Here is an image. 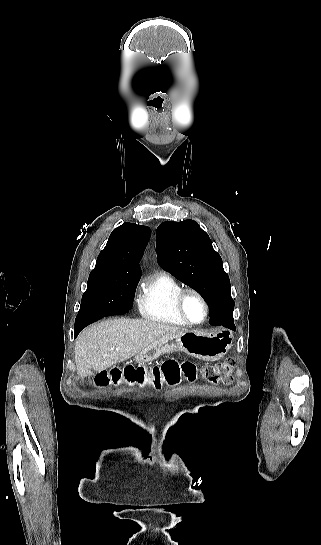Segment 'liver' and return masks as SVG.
Instances as JSON below:
<instances>
[{
  "mask_svg": "<svg viewBox=\"0 0 321 545\" xmlns=\"http://www.w3.org/2000/svg\"><path fill=\"white\" fill-rule=\"evenodd\" d=\"M182 331L187 329L144 319H109L95 323L84 329L76 339L77 375L88 377L93 375L92 371H105L116 363L138 355L163 335Z\"/></svg>",
  "mask_w": 321,
  "mask_h": 545,
  "instance_id": "6515ba94",
  "label": "liver"
}]
</instances>
